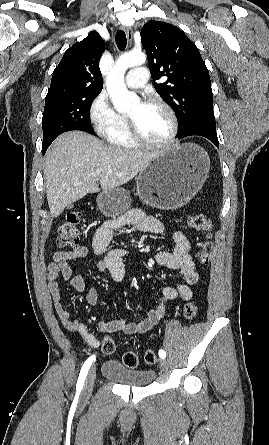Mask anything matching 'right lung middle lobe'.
Returning <instances> with one entry per match:
<instances>
[{
    "label": "right lung middle lobe",
    "instance_id": "right-lung-middle-lobe-1",
    "mask_svg": "<svg viewBox=\"0 0 269 445\" xmlns=\"http://www.w3.org/2000/svg\"><path fill=\"white\" fill-rule=\"evenodd\" d=\"M98 95L99 94L46 95L42 118L43 154H45L53 140L63 132L82 130L96 135L89 120V108Z\"/></svg>",
    "mask_w": 269,
    "mask_h": 445
}]
</instances>
